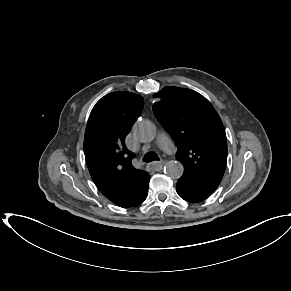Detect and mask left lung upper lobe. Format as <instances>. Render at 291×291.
Listing matches in <instances>:
<instances>
[{"mask_svg": "<svg viewBox=\"0 0 291 291\" xmlns=\"http://www.w3.org/2000/svg\"><path fill=\"white\" fill-rule=\"evenodd\" d=\"M156 118L175 141L184 166L178 181L211 195L220 184L227 162L223 123L211 103L196 91L167 86L156 94Z\"/></svg>", "mask_w": 291, "mask_h": 291, "instance_id": "obj_1", "label": "left lung upper lobe"}]
</instances>
